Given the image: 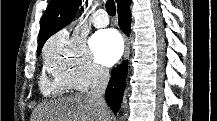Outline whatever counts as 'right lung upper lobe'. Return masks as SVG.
Here are the masks:
<instances>
[{
	"instance_id": "1",
	"label": "right lung upper lobe",
	"mask_w": 217,
	"mask_h": 121,
	"mask_svg": "<svg viewBox=\"0 0 217 121\" xmlns=\"http://www.w3.org/2000/svg\"><path fill=\"white\" fill-rule=\"evenodd\" d=\"M121 1L116 0L117 4ZM80 4L79 0H50L41 20L37 52L41 51L50 36L74 19Z\"/></svg>"
}]
</instances>
